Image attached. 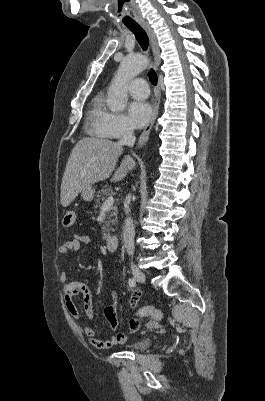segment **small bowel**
<instances>
[{"mask_svg":"<svg viewBox=\"0 0 265 401\" xmlns=\"http://www.w3.org/2000/svg\"><path fill=\"white\" fill-rule=\"evenodd\" d=\"M91 242V238L88 235L82 234H72L68 239H66L59 247V252L63 255L69 253L78 252L81 245H86ZM60 280L63 285L64 301L68 313L73 319L78 321L81 325L82 331L84 333L87 341L94 347L106 350L115 345L123 344L127 340L125 333L117 332L112 337L107 340H101L96 337L95 331L82 320V316L78 310V307L74 303V298L82 295V304L85 316L87 319L92 320L94 317V307L92 296L90 290L83 281H68L67 274L62 272L60 274ZM110 296L112 298V303L104 309V317L109 323L112 329L116 330L118 327V296L114 289H110ZM140 297V292L135 290L130 299V305L135 307ZM131 320V319H130ZM130 326V321H129Z\"/></svg>","mask_w":265,"mask_h":401,"instance_id":"1","label":"small bowel"}]
</instances>
